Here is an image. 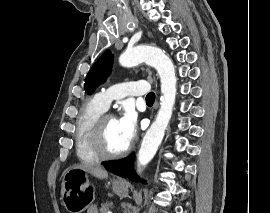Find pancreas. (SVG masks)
<instances>
[{"label":"pancreas","instance_id":"obj_1","mask_svg":"<svg viewBox=\"0 0 270 213\" xmlns=\"http://www.w3.org/2000/svg\"><path fill=\"white\" fill-rule=\"evenodd\" d=\"M109 208H111V204L110 203H104L101 205L100 208V213H108Z\"/></svg>","mask_w":270,"mask_h":213}]
</instances>
